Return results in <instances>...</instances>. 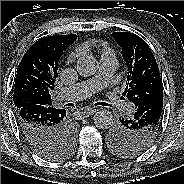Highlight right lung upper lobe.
<instances>
[{
    "mask_svg": "<svg viewBox=\"0 0 184 184\" xmlns=\"http://www.w3.org/2000/svg\"><path fill=\"white\" fill-rule=\"evenodd\" d=\"M76 39V34L43 37L27 50L14 83L13 100L17 109L28 105H52L49 92L58 76L59 58Z\"/></svg>",
    "mask_w": 184,
    "mask_h": 184,
    "instance_id": "1",
    "label": "right lung upper lobe"
}]
</instances>
